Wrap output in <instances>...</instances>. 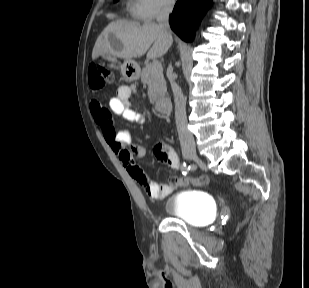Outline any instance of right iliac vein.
Returning <instances> with one entry per match:
<instances>
[{"label": "right iliac vein", "instance_id": "63e3f726", "mask_svg": "<svg viewBox=\"0 0 309 288\" xmlns=\"http://www.w3.org/2000/svg\"><path fill=\"white\" fill-rule=\"evenodd\" d=\"M184 155L186 157L195 155V149L194 148H185L184 149Z\"/></svg>", "mask_w": 309, "mask_h": 288}]
</instances>
